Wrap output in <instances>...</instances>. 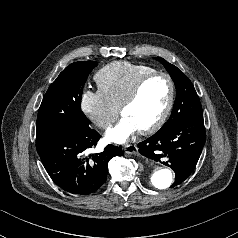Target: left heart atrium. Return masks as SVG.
<instances>
[{
  "label": "left heart atrium",
  "mask_w": 238,
  "mask_h": 238,
  "mask_svg": "<svg viewBox=\"0 0 238 238\" xmlns=\"http://www.w3.org/2000/svg\"><path fill=\"white\" fill-rule=\"evenodd\" d=\"M137 131L138 126L127 116L106 132V139L110 142L123 144L127 142Z\"/></svg>",
  "instance_id": "39dd6f15"
}]
</instances>
